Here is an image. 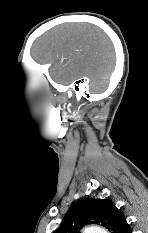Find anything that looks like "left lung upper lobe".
<instances>
[{"instance_id":"obj_1","label":"left lung upper lobe","mask_w":148,"mask_h":233,"mask_svg":"<svg viewBox=\"0 0 148 233\" xmlns=\"http://www.w3.org/2000/svg\"><path fill=\"white\" fill-rule=\"evenodd\" d=\"M101 224L111 233L130 229L122 212L108 199H90L73 204L54 233H79L82 226Z\"/></svg>"}]
</instances>
